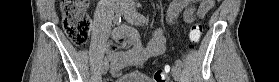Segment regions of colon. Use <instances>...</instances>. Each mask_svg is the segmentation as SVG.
Returning <instances> with one entry per match:
<instances>
[{"label":"colon","instance_id":"obj_1","mask_svg":"<svg viewBox=\"0 0 279 82\" xmlns=\"http://www.w3.org/2000/svg\"><path fill=\"white\" fill-rule=\"evenodd\" d=\"M62 15L63 28L75 45H84L91 31V20L85 12L88 4L86 0H59ZM215 0H204V6H212ZM205 11V8L202 10ZM203 31L201 22L194 23L189 31V39L192 45L200 41ZM154 82H168V73L164 69L154 73Z\"/></svg>","mask_w":279,"mask_h":82}]
</instances>
